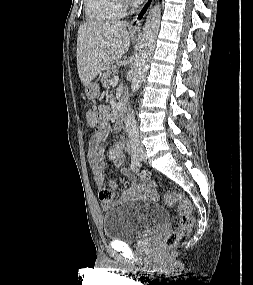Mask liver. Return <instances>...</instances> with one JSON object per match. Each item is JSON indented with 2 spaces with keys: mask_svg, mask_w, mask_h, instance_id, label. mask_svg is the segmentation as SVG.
<instances>
[{
  "mask_svg": "<svg viewBox=\"0 0 253 285\" xmlns=\"http://www.w3.org/2000/svg\"><path fill=\"white\" fill-rule=\"evenodd\" d=\"M126 28L124 21H94L79 27L77 69L85 87L128 51L131 35Z\"/></svg>",
  "mask_w": 253,
  "mask_h": 285,
  "instance_id": "obj_1",
  "label": "liver"
}]
</instances>
